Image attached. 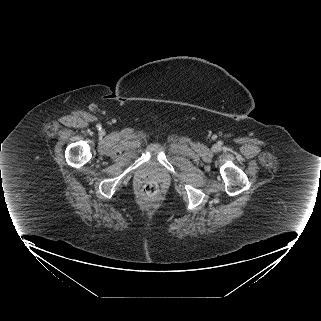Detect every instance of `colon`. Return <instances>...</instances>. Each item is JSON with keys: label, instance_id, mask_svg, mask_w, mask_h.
<instances>
[{"label": "colon", "instance_id": "obj_1", "mask_svg": "<svg viewBox=\"0 0 321 321\" xmlns=\"http://www.w3.org/2000/svg\"><path fill=\"white\" fill-rule=\"evenodd\" d=\"M143 191L147 197L153 198L158 194L159 186L156 182L151 181L144 185Z\"/></svg>", "mask_w": 321, "mask_h": 321}]
</instances>
